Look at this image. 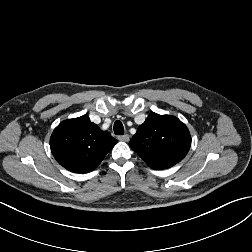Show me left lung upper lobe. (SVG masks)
Here are the masks:
<instances>
[{"instance_id":"obj_1","label":"left lung upper lobe","mask_w":252,"mask_h":252,"mask_svg":"<svg viewBox=\"0 0 252 252\" xmlns=\"http://www.w3.org/2000/svg\"><path fill=\"white\" fill-rule=\"evenodd\" d=\"M152 169L175 165L188 153L191 136L186 125L170 115L149 114L129 142Z\"/></svg>"}]
</instances>
